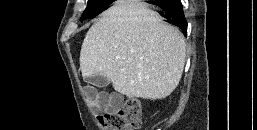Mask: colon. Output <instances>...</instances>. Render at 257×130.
Segmentation results:
<instances>
[{
	"instance_id": "5ec220e1",
	"label": "colon",
	"mask_w": 257,
	"mask_h": 130,
	"mask_svg": "<svg viewBox=\"0 0 257 130\" xmlns=\"http://www.w3.org/2000/svg\"><path fill=\"white\" fill-rule=\"evenodd\" d=\"M92 93V88L87 89V95ZM99 121L107 130L138 129L142 123L140 102L136 98L129 97L121 106L105 111L99 116Z\"/></svg>"
}]
</instances>
